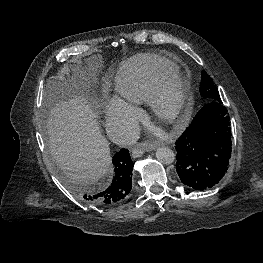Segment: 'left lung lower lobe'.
Returning <instances> with one entry per match:
<instances>
[{"instance_id": "left-lung-lower-lobe-1", "label": "left lung lower lobe", "mask_w": 263, "mask_h": 263, "mask_svg": "<svg viewBox=\"0 0 263 263\" xmlns=\"http://www.w3.org/2000/svg\"><path fill=\"white\" fill-rule=\"evenodd\" d=\"M230 117L222 102L210 101L175 142L181 182L195 190L216 185L231 158Z\"/></svg>"}]
</instances>
